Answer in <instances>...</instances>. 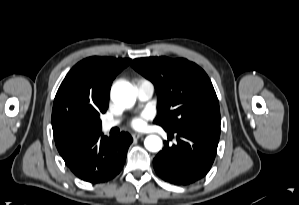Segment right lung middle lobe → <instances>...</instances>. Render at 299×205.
<instances>
[{
	"instance_id": "obj_1",
	"label": "right lung middle lobe",
	"mask_w": 299,
	"mask_h": 205,
	"mask_svg": "<svg viewBox=\"0 0 299 205\" xmlns=\"http://www.w3.org/2000/svg\"><path fill=\"white\" fill-rule=\"evenodd\" d=\"M69 132L76 140L81 141L87 137L101 132V120H77L69 125Z\"/></svg>"
}]
</instances>
